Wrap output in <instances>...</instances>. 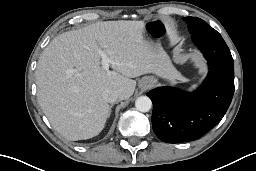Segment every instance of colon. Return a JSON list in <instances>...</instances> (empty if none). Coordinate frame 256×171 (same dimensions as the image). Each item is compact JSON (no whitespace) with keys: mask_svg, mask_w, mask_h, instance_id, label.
Returning a JSON list of instances; mask_svg holds the SVG:
<instances>
[{"mask_svg":"<svg viewBox=\"0 0 256 171\" xmlns=\"http://www.w3.org/2000/svg\"><path fill=\"white\" fill-rule=\"evenodd\" d=\"M162 32V28L161 27H155L154 29H153V33L154 34H160Z\"/></svg>","mask_w":256,"mask_h":171,"instance_id":"colon-1","label":"colon"}]
</instances>
